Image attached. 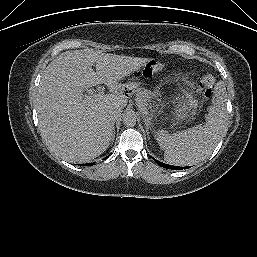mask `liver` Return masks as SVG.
<instances>
[{"label":"liver","mask_w":257,"mask_h":257,"mask_svg":"<svg viewBox=\"0 0 257 257\" xmlns=\"http://www.w3.org/2000/svg\"><path fill=\"white\" fill-rule=\"evenodd\" d=\"M149 61L90 49L57 56L44 70L36 104L41 135L49 148L71 163L88 162L104 153L114 126L107 115L122 112L128 102L125 86L119 81ZM98 84L106 85L112 93L86 100L83 89Z\"/></svg>","instance_id":"liver-1"}]
</instances>
